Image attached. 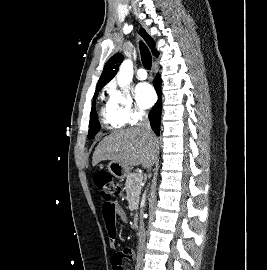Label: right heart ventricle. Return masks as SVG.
Returning a JSON list of instances; mask_svg holds the SVG:
<instances>
[{"label": "right heart ventricle", "mask_w": 267, "mask_h": 270, "mask_svg": "<svg viewBox=\"0 0 267 270\" xmlns=\"http://www.w3.org/2000/svg\"><path fill=\"white\" fill-rule=\"evenodd\" d=\"M100 117L104 127L108 130L120 129L125 124L114 114L109 103H107L105 106L101 108Z\"/></svg>", "instance_id": "right-heart-ventricle-1"}]
</instances>
